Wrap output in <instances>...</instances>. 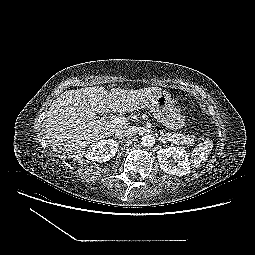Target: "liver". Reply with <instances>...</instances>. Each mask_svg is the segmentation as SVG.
<instances>
[{
	"label": "liver",
	"instance_id": "liver-1",
	"mask_svg": "<svg viewBox=\"0 0 255 255\" xmlns=\"http://www.w3.org/2000/svg\"><path fill=\"white\" fill-rule=\"evenodd\" d=\"M157 87L137 90L104 87H85L68 90L55 99L44 120L46 142L68 158L81 159L84 148L115 133L128 124H114L100 119L97 114L132 112L148 106L158 91Z\"/></svg>",
	"mask_w": 255,
	"mask_h": 255
}]
</instances>
